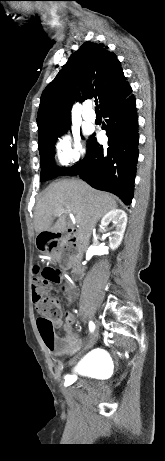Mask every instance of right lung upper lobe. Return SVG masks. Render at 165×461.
<instances>
[{"label": "right lung upper lobe", "instance_id": "cb5924a9", "mask_svg": "<svg viewBox=\"0 0 165 461\" xmlns=\"http://www.w3.org/2000/svg\"><path fill=\"white\" fill-rule=\"evenodd\" d=\"M132 92L114 52L104 44L85 42L45 88L37 116L38 139L71 122L74 101L98 96L101 111Z\"/></svg>", "mask_w": 165, "mask_h": 461}]
</instances>
